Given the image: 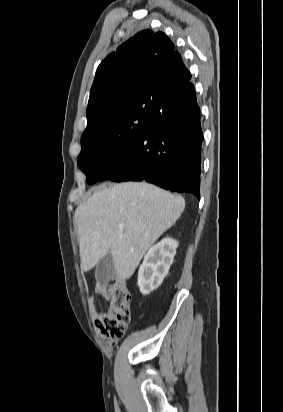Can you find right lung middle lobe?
Segmentation results:
<instances>
[{
    "mask_svg": "<svg viewBox=\"0 0 283 412\" xmlns=\"http://www.w3.org/2000/svg\"><path fill=\"white\" fill-rule=\"evenodd\" d=\"M162 106L160 101L152 100L135 104L82 136L77 162L88 184L95 183L109 166L126 154L152 115Z\"/></svg>",
    "mask_w": 283,
    "mask_h": 412,
    "instance_id": "dd1d6c3e",
    "label": "right lung middle lobe"
}]
</instances>
